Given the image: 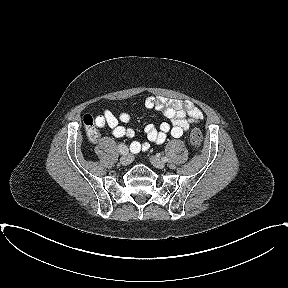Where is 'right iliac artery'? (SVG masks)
<instances>
[{
  "label": "right iliac artery",
  "instance_id": "1",
  "mask_svg": "<svg viewBox=\"0 0 288 288\" xmlns=\"http://www.w3.org/2000/svg\"><path fill=\"white\" fill-rule=\"evenodd\" d=\"M118 149H119L120 153H121V151H123V150H128L127 146L124 145V144H119V145H118Z\"/></svg>",
  "mask_w": 288,
  "mask_h": 288
}]
</instances>
